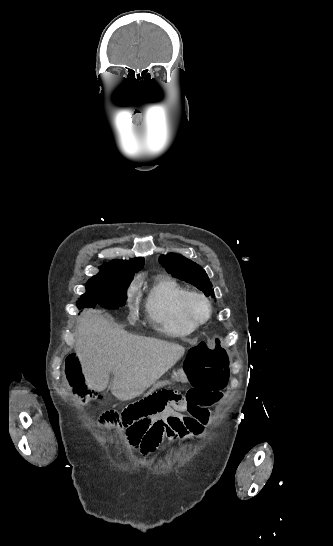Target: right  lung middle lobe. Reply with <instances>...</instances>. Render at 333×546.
Segmentation results:
<instances>
[{"label":"right lung middle lobe","instance_id":"obj_1","mask_svg":"<svg viewBox=\"0 0 333 546\" xmlns=\"http://www.w3.org/2000/svg\"><path fill=\"white\" fill-rule=\"evenodd\" d=\"M136 272L119 270H100L90 278L84 293L77 302L78 309L101 305L107 309H117L123 306L127 297V288Z\"/></svg>","mask_w":333,"mask_h":546}]
</instances>
